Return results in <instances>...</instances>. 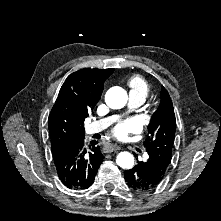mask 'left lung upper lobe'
Segmentation results:
<instances>
[{
	"label": "left lung upper lobe",
	"mask_w": 221,
	"mask_h": 221,
	"mask_svg": "<svg viewBox=\"0 0 221 221\" xmlns=\"http://www.w3.org/2000/svg\"><path fill=\"white\" fill-rule=\"evenodd\" d=\"M176 131V119L172 100L167 90L161 89V102L148 126V138L144 142L147 152L157 151L171 158Z\"/></svg>",
	"instance_id": "5c2ea615"
}]
</instances>
